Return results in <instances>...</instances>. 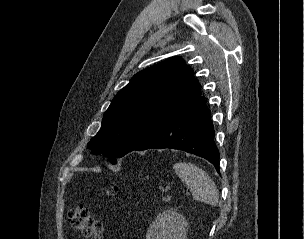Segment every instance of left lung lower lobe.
Masks as SVG:
<instances>
[{"label":"left lung lower lobe","instance_id":"0a47b994","mask_svg":"<svg viewBox=\"0 0 304 239\" xmlns=\"http://www.w3.org/2000/svg\"><path fill=\"white\" fill-rule=\"evenodd\" d=\"M214 135L211 112L204 98L200 96L133 150L163 148L183 150L205 158L219 173V152L213 141Z\"/></svg>","mask_w":304,"mask_h":239}]
</instances>
